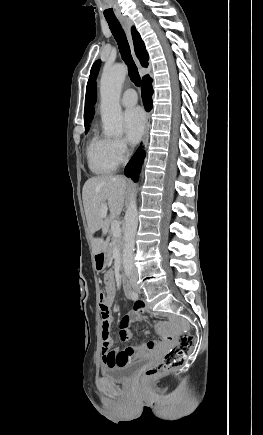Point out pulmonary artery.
<instances>
[{"instance_id": "1", "label": "pulmonary artery", "mask_w": 263, "mask_h": 435, "mask_svg": "<svg viewBox=\"0 0 263 435\" xmlns=\"http://www.w3.org/2000/svg\"><path fill=\"white\" fill-rule=\"evenodd\" d=\"M137 101V94L133 89L126 90L121 98V104L125 107H132L137 103Z\"/></svg>"}]
</instances>
